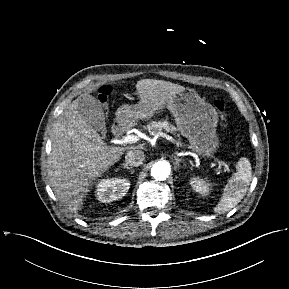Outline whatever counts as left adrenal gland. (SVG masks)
<instances>
[{
  "label": "left adrenal gland",
  "instance_id": "1",
  "mask_svg": "<svg viewBox=\"0 0 289 289\" xmlns=\"http://www.w3.org/2000/svg\"><path fill=\"white\" fill-rule=\"evenodd\" d=\"M181 162H183L182 159L175 157V163H174V165H175V168H176V169L179 167V165H180Z\"/></svg>",
  "mask_w": 289,
  "mask_h": 289
}]
</instances>
